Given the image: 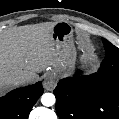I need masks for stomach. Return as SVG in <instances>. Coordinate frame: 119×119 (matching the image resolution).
I'll return each instance as SVG.
<instances>
[{"instance_id":"obj_1","label":"stomach","mask_w":119,"mask_h":119,"mask_svg":"<svg viewBox=\"0 0 119 119\" xmlns=\"http://www.w3.org/2000/svg\"><path fill=\"white\" fill-rule=\"evenodd\" d=\"M57 58L54 66L65 73H71L75 67L76 51L73 43V29L67 22H57L52 29Z\"/></svg>"}]
</instances>
